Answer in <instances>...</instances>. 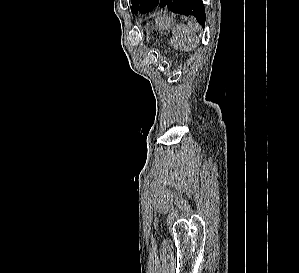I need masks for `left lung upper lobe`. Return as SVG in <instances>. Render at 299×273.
<instances>
[{"label": "left lung upper lobe", "instance_id": "left-lung-upper-lobe-1", "mask_svg": "<svg viewBox=\"0 0 299 273\" xmlns=\"http://www.w3.org/2000/svg\"><path fill=\"white\" fill-rule=\"evenodd\" d=\"M145 1L146 0H132V6H131L132 13L137 14L138 12H140L144 7Z\"/></svg>", "mask_w": 299, "mask_h": 273}]
</instances>
